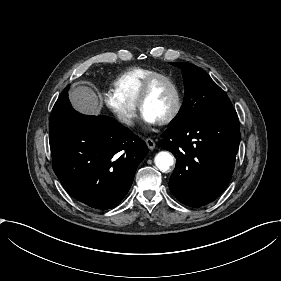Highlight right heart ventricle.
<instances>
[{
  "label": "right heart ventricle",
  "instance_id": "e07e8e85",
  "mask_svg": "<svg viewBox=\"0 0 281 281\" xmlns=\"http://www.w3.org/2000/svg\"><path fill=\"white\" fill-rule=\"evenodd\" d=\"M165 74L163 71L147 68L135 67L121 73L114 81L115 90L126 102L136 105L138 98L146 82L156 76Z\"/></svg>",
  "mask_w": 281,
  "mask_h": 281
}]
</instances>
